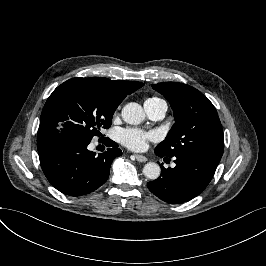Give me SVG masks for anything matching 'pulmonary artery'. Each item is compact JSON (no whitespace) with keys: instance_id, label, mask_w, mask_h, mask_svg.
Segmentation results:
<instances>
[{"instance_id":"pulmonary-artery-1","label":"pulmonary artery","mask_w":266,"mask_h":266,"mask_svg":"<svg viewBox=\"0 0 266 266\" xmlns=\"http://www.w3.org/2000/svg\"><path fill=\"white\" fill-rule=\"evenodd\" d=\"M145 110L150 118L154 120H159L164 117L167 111V103L160 99L157 102H145L144 103Z\"/></svg>"}]
</instances>
